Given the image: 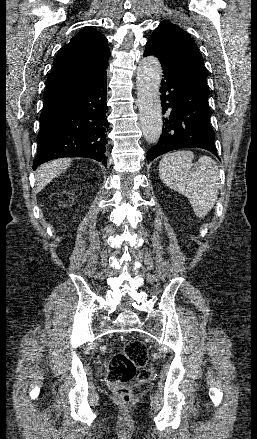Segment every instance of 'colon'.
<instances>
[{"label": "colon", "mask_w": 257, "mask_h": 439, "mask_svg": "<svg viewBox=\"0 0 257 439\" xmlns=\"http://www.w3.org/2000/svg\"><path fill=\"white\" fill-rule=\"evenodd\" d=\"M148 361L147 347L138 339L128 341L123 351L114 355L109 364L107 382L119 401L128 403L132 400V392L127 384L135 377L140 382L151 378Z\"/></svg>", "instance_id": "obj_1"}]
</instances>
